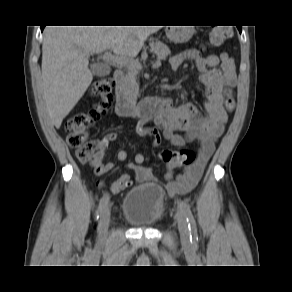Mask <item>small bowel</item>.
Segmentation results:
<instances>
[{
  "label": "small bowel",
  "instance_id": "small-bowel-1",
  "mask_svg": "<svg viewBox=\"0 0 292 292\" xmlns=\"http://www.w3.org/2000/svg\"><path fill=\"white\" fill-rule=\"evenodd\" d=\"M189 60L194 61L200 73V81L205 93L203 109L200 110L192 103L173 105L172 101L167 99V107L156 117L155 126L141 124L137 130L140 135L149 137L146 147H157L164 142H169L174 147H182L190 142L199 144L195 163L188 166L167 164L166 181L163 186L171 196L187 194L198 184L228 121V115L223 107V92L225 89L235 87L237 83L235 61L226 52L205 57L197 49H188L173 56L170 64L174 70H177ZM116 139L117 134L110 132L94 141L96 152L90 164L97 176L106 174L114 168L113 163H104L103 159L105 150ZM127 158L128 154L125 150L117 153L119 161H126ZM143 161L144 154L139 152L135 155L134 162L127 166L133 171L136 182H158L152 170L142 165ZM178 168L182 170L176 173L175 170ZM126 178L128 176L124 175L112 183L111 191L114 194L124 189Z\"/></svg>",
  "mask_w": 292,
  "mask_h": 292
}]
</instances>
